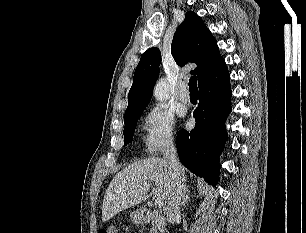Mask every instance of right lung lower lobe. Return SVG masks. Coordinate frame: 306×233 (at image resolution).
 <instances>
[{"label":"right lung lower lobe","instance_id":"obj_1","mask_svg":"<svg viewBox=\"0 0 306 233\" xmlns=\"http://www.w3.org/2000/svg\"><path fill=\"white\" fill-rule=\"evenodd\" d=\"M230 75L225 66L199 84V103L192 131L180 130L176 145L181 163L205 181L219 180V154L227 139L225 120L231 112Z\"/></svg>","mask_w":306,"mask_h":233}]
</instances>
